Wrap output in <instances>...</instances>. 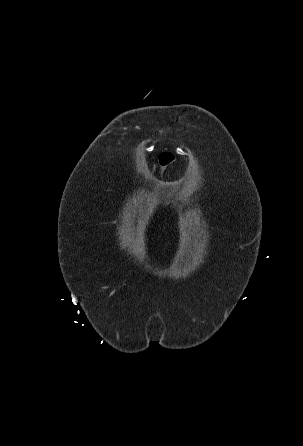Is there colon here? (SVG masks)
Segmentation results:
<instances>
[{"label": "colon", "instance_id": "obj_1", "mask_svg": "<svg viewBox=\"0 0 303 446\" xmlns=\"http://www.w3.org/2000/svg\"><path fill=\"white\" fill-rule=\"evenodd\" d=\"M173 162H175V156L173 153L171 152L161 153L159 156L160 173L163 174L166 171L167 167Z\"/></svg>", "mask_w": 303, "mask_h": 446}]
</instances>
